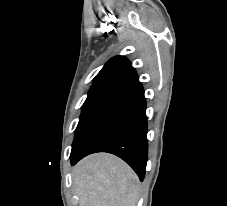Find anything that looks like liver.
Listing matches in <instances>:
<instances>
[{"instance_id": "1", "label": "liver", "mask_w": 227, "mask_h": 206, "mask_svg": "<svg viewBox=\"0 0 227 206\" xmlns=\"http://www.w3.org/2000/svg\"><path fill=\"white\" fill-rule=\"evenodd\" d=\"M73 184L79 206H136L138 177L118 157L96 153L73 169Z\"/></svg>"}]
</instances>
